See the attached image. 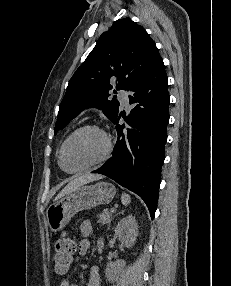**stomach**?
<instances>
[{"mask_svg": "<svg viewBox=\"0 0 231 286\" xmlns=\"http://www.w3.org/2000/svg\"><path fill=\"white\" fill-rule=\"evenodd\" d=\"M115 194L114 185L108 182L82 185L48 207L46 211L47 224L51 231H60L78 212L92 209L101 204H108Z\"/></svg>", "mask_w": 231, "mask_h": 286, "instance_id": "stomach-1", "label": "stomach"}]
</instances>
